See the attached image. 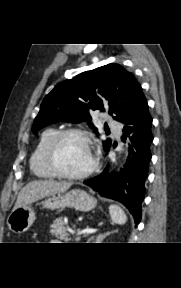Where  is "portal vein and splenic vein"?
Segmentation results:
<instances>
[{
  "instance_id": "portal-vein-and-splenic-vein-1",
  "label": "portal vein and splenic vein",
  "mask_w": 181,
  "mask_h": 288,
  "mask_svg": "<svg viewBox=\"0 0 181 288\" xmlns=\"http://www.w3.org/2000/svg\"><path fill=\"white\" fill-rule=\"evenodd\" d=\"M96 231H97L96 229L87 228V229L80 231L78 234H92V233H95Z\"/></svg>"
}]
</instances>
